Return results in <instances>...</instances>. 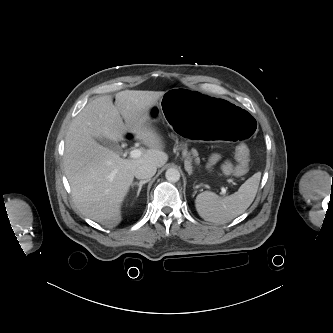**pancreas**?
<instances>
[{
	"label": "pancreas",
	"instance_id": "pancreas-1",
	"mask_svg": "<svg viewBox=\"0 0 333 333\" xmlns=\"http://www.w3.org/2000/svg\"><path fill=\"white\" fill-rule=\"evenodd\" d=\"M193 155L194 157H197V152L196 151H192L191 153H188L187 151V148H186V145H184V149H183V155L186 157V161H185V169L191 173L192 171V166H191V161H192V158L190 155ZM196 163L199 164L200 162V159L197 157L195 159Z\"/></svg>",
	"mask_w": 333,
	"mask_h": 333
}]
</instances>
